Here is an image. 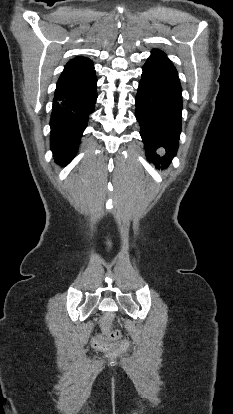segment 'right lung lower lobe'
<instances>
[{"instance_id":"1","label":"right lung lower lobe","mask_w":233,"mask_h":414,"mask_svg":"<svg viewBox=\"0 0 233 414\" xmlns=\"http://www.w3.org/2000/svg\"><path fill=\"white\" fill-rule=\"evenodd\" d=\"M94 66L83 71H63L57 82L50 120L51 149L57 163L67 165L94 111L97 78Z\"/></svg>"}]
</instances>
